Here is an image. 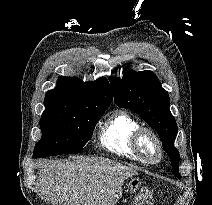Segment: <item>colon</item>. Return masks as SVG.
<instances>
[{"label": "colon", "mask_w": 212, "mask_h": 205, "mask_svg": "<svg viewBox=\"0 0 212 205\" xmlns=\"http://www.w3.org/2000/svg\"><path fill=\"white\" fill-rule=\"evenodd\" d=\"M154 192L149 189H144L140 192V194L130 203L127 205H144L149 204L153 200Z\"/></svg>", "instance_id": "5ec220e1"}]
</instances>
